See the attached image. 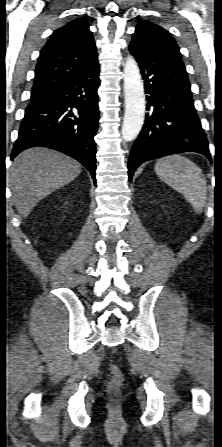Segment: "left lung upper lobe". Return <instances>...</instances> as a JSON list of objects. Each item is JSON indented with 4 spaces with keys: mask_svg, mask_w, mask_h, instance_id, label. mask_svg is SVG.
<instances>
[{
    "mask_svg": "<svg viewBox=\"0 0 222 447\" xmlns=\"http://www.w3.org/2000/svg\"><path fill=\"white\" fill-rule=\"evenodd\" d=\"M133 37L141 38L170 50L180 58L179 47L175 40L162 27L147 21H141L136 26Z\"/></svg>",
    "mask_w": 222,
    "mask_h": 447,
    "instance_id": "5c2ea615",
    "label": "left lung upper lobe"
}]
</instances>
